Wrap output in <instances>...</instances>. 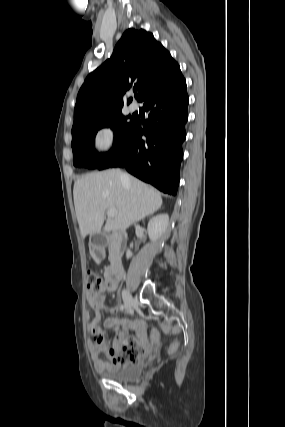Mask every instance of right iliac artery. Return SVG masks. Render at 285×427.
Listing matches in <instances>:
<instances>
[{"mask_svg": "<svg viewBox=\"0 0 285 427\" xmlns=\"http://www.w3.org/2000/svg\"><path fill=\"white\" fill-rule=\"evenodd\" d=\"M120 308H121V310H123V309H124V305H121V307H120Z\"/></svg>", "mask_w": 285, "mask_h": 427, "instance_id": "1", "label": "right iliac artery"}]
</instances>
